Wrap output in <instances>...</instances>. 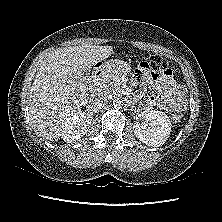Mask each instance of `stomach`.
<instances>
[{
    "label": "stomach",
    "mask_w": 222,
    "mask_h": 222,
    "mask_svg": "<svg viewBox=\"0 0 222 222\" xmlns=\"http://www.w3.org/2000/svg\"><path fill=\"white\" fill-rule=\"evenodd\" d=\"M112 67L117 68L123 74L128 73L131 69L129 64L123 63V62H120V63L118 62V63H115L114 66H113V64H108L106 71L109 69H112Z\"/></svg>",
    "instance_id": "stomach-1"
}]
</instances>
